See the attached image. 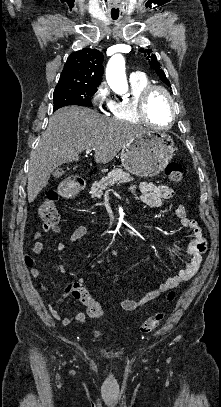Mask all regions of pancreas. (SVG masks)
Listing matches in <instances>:
<instances>
[{
  "label": "pancreas",
  "mask_w": 221,
  "mask_h": 407,
  "mask_svg": "<svg viewBox=\"0 0 221 407\" xmlns=\"http://www.w3.org/2000/svg\"><path fill=\"white\" fill-rule=\"evenodd\" d=\"M133 178L129 173L123 171L120 168L114 169L108 173L107 176L103 177L99 181L93 183L91 188L92 198H101L103 192L112 187L114 184L127 183L132 181Z\"/></svg>",
  "instance_id": "1"
}]
</instances>
